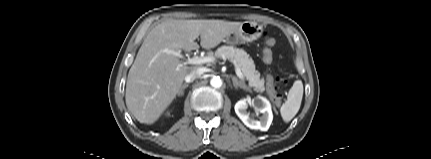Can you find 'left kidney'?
Wrapping results in <instances>:
<instances>
[{"label":"left kidney","mask_w":431,"mask_h":159,"mask_svg":"<svg viewBox=\"0 0 431 159\" xmlns=\"http://www.w3.org/2000/svg\"><path fill=\"white\" fill-rule=\"evenodd\" d=\"M248 104L255 108L258 113H262L260 120H255L247 112ZM235 112L241 121L250 129L267 131L272 123L273 114L270 102L262 97L257 96L252 100H239L235 104Z\"/></svg>","instance_id":"left-kidney-1"}]
</instances>
